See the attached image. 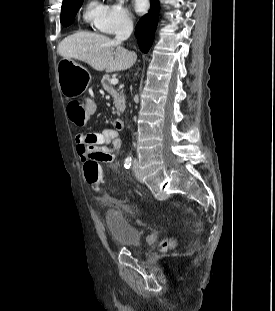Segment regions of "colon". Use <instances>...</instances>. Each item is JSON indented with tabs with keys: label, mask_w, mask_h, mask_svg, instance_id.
Segmentation results:
<instances>
[{
	"label": "colon",
	"mask_w": 275,
	"mask_h": 311,
	"mask_svg": "<svg viewBox=\"0 0 275 311\" xmlns=\"http://www.w3.org/2000/svg\"><path fill=\"white\" fill-rule=\"evenodd\" d=\"M101 97H84L76 99L69 103L68 111L73 122L79 127L87 125L88 121H92L93 117H97V106L101 104ZM84 176L87 184L93 188L98 189L102 184V168L96 160H89L84 165ZM172 242L165 241L162 248H166Z\"/></svg>",
	"instance_id": "5ec220e1"
}]
</instances>
